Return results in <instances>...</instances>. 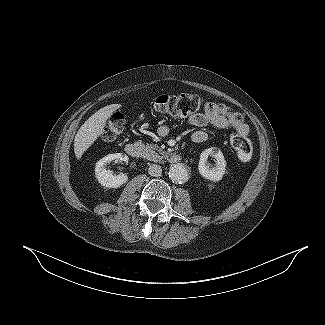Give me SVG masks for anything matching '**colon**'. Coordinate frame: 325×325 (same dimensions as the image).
I'll use <instances>...</instances> for the list:
<instances>
[{
    "mask_svg": "<svg viewBox=\"0 0 325 325\" xmlns=\"http://www.w3.org/2000/svg\"><path fill=\"white\" fill-rule=\"evenodd\" d=\"M202 105L203 98L192 93L163 94L158 96L152 104L156 112L172 118L193 115L200 110ZM124 125V117L119 113L113 114L103 133V138L107 141L114 140L122 132ZM231 145L240 161L246 162L251 159L253 146L247 138L235 133L231 137Z\"/></svg>",
    "mask_w": 325,
    "mask_h": 325,
    "instance_id": "5ec220e1",
    "label": "colon"
}]
</instances>
